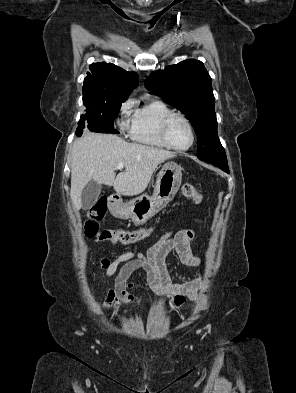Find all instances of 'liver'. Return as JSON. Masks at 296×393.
<instances>
[{
  "label": "liver",
  "mask_w": 296,
  "mask_h": 393,
  "mask_svg": "<svg viewBox=\"0 0 296 393\" xmlns=\"http://www.w3.org/2000/svg\"><path fill=\"white\" fill-rule=\"evenodd\" d=\"M175 153L160 148L128 143L111 134L86 131L71 148L70 197L75 209L82 207L81 194L90 181L113 185L118 195L134 196L148 186L157 166ZM125 170L115 176L118 163Z\"/></svg>",
  "instance_id": "obj_1"
}]
</instances>
